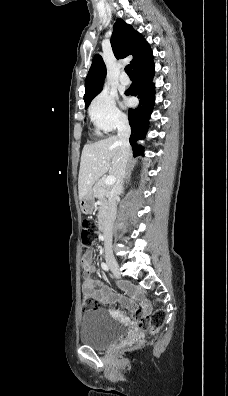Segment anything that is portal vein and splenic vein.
<instances>
[{"label":"portal vein and splenic vein","mask_w":228,"mask_h":396,"mask_svg":"<svg viewBox=\"0 0 228 396\" xmlns=\"http://www.w3.org/2000/svg\"><path fill=\"white\" fill-rule=\"evenodd\" d=\"M103 163H105V161H103ZM115 181H116V178L114 177V176H107L106 177V179H105V181H104V183L106 184V185H108V186H111V185H113L114 183H115Z\"/></svg>","instance_id":"18ae733b"}]
</instances>
